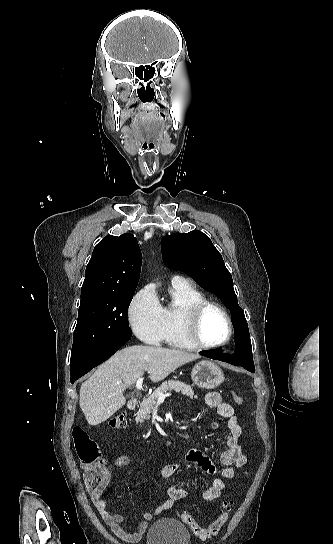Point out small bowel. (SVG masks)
Listing matches in <instances>:
<instances>
[{"instance_id":"small-bowel-1","label":"small bowel","mask_w":333,"mask_h":544,"mask_svg":"<svg viewBox=\"0 0 333 544\" xmlns=\"http://www.w3.org/2000/svg\"><path fill=\"white\" fill-rule=\"evenodd\" d=\"M205 402L208 407L217 410L218 414L227 420L228 428V434L225 439L226 449L220 455V461L225 466L221 472L222 478H215L212 481L211 486L202 494L204 502H211L217 499L225 489L224 479H233L236 475V469L244 468L247 465V457L242 452L239 442L242 435V428L239 424L238 418L235 416L233 406L224 402L221 395L215 391L209 392L206 395ZM185 461L200 468L207 474H215L217 472L216 466L212 460L196 449H190L187 451ZM129 462L130 459L127 455H121L110 463V465H108L106 468V481L100 488L90 490V498L102 520L109 526L110 530L117 537L125 542L137 543L141 540L143 534L145 533L149 521H151L154 516L171 509L176 501L186 498L189 495V490L184 487H178L171 484V478L179 471L181 467L180 463H169L163 465L160 468L159 473L161 478L166 483L165 491L167 498L153 511H145L143 513V520L138 524L136 531L127 532L121 525L124 521V517L121 514H112L108 511L103 493L110 481L114 469L126 466L129 464Z\"/></svg>"}]
</instances>
